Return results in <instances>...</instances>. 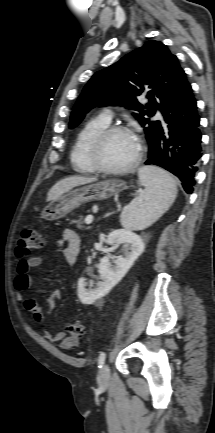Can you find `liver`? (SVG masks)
<instances>
[{
    "label": "liver",
    "mask_w": 215,
    "mask_h": 433,
    "mask_svg": "<svg viewBox=\"0 0 215 433\" xmlns=\"http://www.w3.org/2000/svg\"><path fill=\"white\" fill-rule=\"evenodd\" d=\"M97 181L95 177L71 176L58 181L48 193V201L58 199L72 188Z\"/></svg>",
    "instance_id": "1"
}]
</instances>
